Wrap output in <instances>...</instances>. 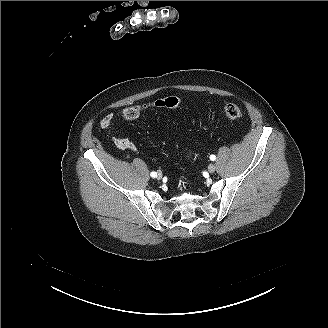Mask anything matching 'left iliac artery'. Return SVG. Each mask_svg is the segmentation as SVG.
<instances>
[{
	"instance_id": "obj_1",
	"label": "left iliac artery",
	"mask_w": 328,
	"mask_h": 328,
	"mask_svg": "<svg viewBox=\"0 0 328 328\" xmlns=\"http://www.w3.org/2000/svg\"><path fill=\"white\" fill-rule=\"evenodd\" d=\"M216 159V156L215 155H211L210 156V160L214 161Z\"/></svg>"
}]
</instances>
